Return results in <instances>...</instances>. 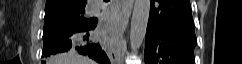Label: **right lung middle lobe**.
I'll return each instance as SVG.
<instances>
[{"mask_svg": "<svg viewBox=\"0 0 242 64\" xmlns=\"http://www.w3.org/2000/svg\"><path fill=\"white\" fill-rule=\"evenodd\" d=\"M85 6L71 10H56L45 13L43 42L73 29L90 27L97 21L95 18L83 16Z\"/></svg>", "mask_w": 242, "mask_h": 64, "instance_id": "dd1d6c3e", "label": "right lung middle lobe"}]
</instances>
